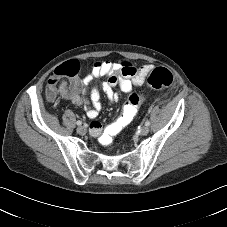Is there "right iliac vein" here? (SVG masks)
<instances>
[{"instance_id":"1","label":"right iliac vein","mask_w":227,"mask_h":227,"mask_svg":"<svg viewBox=\"0 0 227 227\" xmlns=\"http://www.w3.org/2000/svg\"><path fill=\"white\" fill-rule=\"evenodd\" d=\"M76 131L79 135H84L86 130L83 126H80V127L77 128Z\"/></svg>"}]
</instances>
